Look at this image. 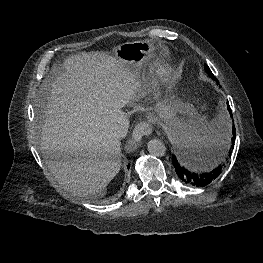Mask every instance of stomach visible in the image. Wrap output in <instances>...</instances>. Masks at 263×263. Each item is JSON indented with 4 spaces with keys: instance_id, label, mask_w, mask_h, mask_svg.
I'll use <instances>...</instances> for the list:
<instances>
[{
    "instance_id": "0dacf381",
    "label": "stomach",
    "mask_w": 263,
    "mask_h": 263,
    "mask_svg": "<svg viewBox=\"0 0 263 263\" xmlns=\"http://www.w3.org/2000/svg\"><path fill=\"white\" fill-rule=\"evenodd\" d=\"M154 50V46L149 41L126 42L115 48L114 55L133 68L140 69L151 59ZM177 111V107L166 100L158 102L155 108L157 116L165 122L171 132L178 124ZM192 164L195 166L196 160L192 161Z\"/></svg>"
}]
</instances>
